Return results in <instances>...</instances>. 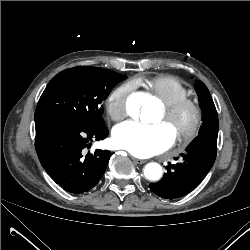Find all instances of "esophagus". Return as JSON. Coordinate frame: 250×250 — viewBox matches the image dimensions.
I'll return each instance as SVG.
<instances>
[{"label":"esophagus","mask_w":250,"mask_h":250,"mask_svg":"<svg viewBox=\"0 0 250 250\" xmlns=\"http://www.w3.org/2000/svg\"><path fill=\"white\" fill-rule=\"evenodd\" d=\"M132 160L136 164H144L146 162L145 160L138 159V158H135V157H132Z\"/></svg>","instance_id":"34e87169"}]
</instances>
